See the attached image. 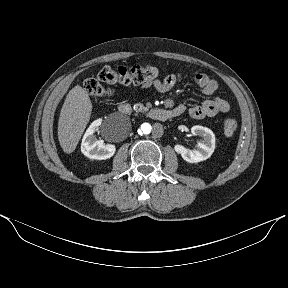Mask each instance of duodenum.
<instances>
[{
	"mask_svg": "<svg viewBox=\"0 0 288 288\" xmlns=\"http://www.w3.org/2000/svg\"><path fill=\"white\" fill-rule=\"evenodd\" d=\"M119 111L123 115H130L132 112V108L130 104L128 103H122L119 106ZM181 115V110L179 109H166V108H161V107H155L150 109L147 112V116L153 120H158V121H166L170 118H174Z\"/></svg>",
	"mask_w": 288,
	"mask_h": 288,
	"instance_id": "duodenum-1",
	"label": "duodenum"
}]
</instances>
